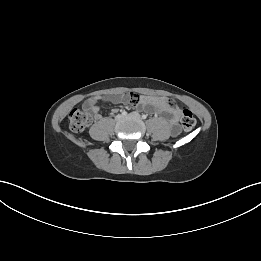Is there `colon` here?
Instances as JSON below:
<instances>
[{
  "label": "colon",
  "mask_w": 261,
  "mask_h": 261,
  "mask_svg": "<svg viewBox=\"0 0 261 261\" xmlns=\"http://www.w3.org/2000/svg\"><path fill=\"white\" fill-rule=\"evenodd\" d=\"M92 121V114L80 108H74L69 115V126L74 132H82ZM196 125V119L190 109L181 108V126L185 131H191Z\"/></svg>",
  "instance_id": "obj_1"
}]
</instances>
